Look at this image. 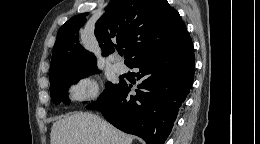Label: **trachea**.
I'll list each match as a JSON object with an SVG mask.
<instances>
[{"label": "trachea", "instance_id": "3493384b", "mask_svg": "<svg viewBox=\"0 0 260 144\" xmlns=\"http://www.w3.org/2000/svg\"><path fill=\"white\" fill-rule=\"evenodd\" d=\"M118 53H119L120 56L124 55V51L123 50H118Z\"/></svg>", "mask_w": 260, "mask_h": 144}]
</instances>
